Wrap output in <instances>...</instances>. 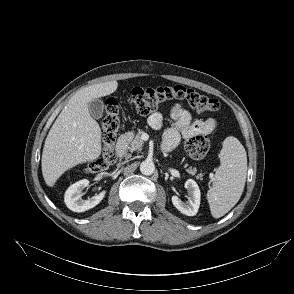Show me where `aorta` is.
I'll list each match as a JSON object with an SVG mask.
<instances>
[{
	"instance_id": "1",
	"label": "aorta",
	"mask_w": 294,
	"mask_h": 294,
	"mask_svg": "<svg viewBox=\"0 0 294 294\" xmlns=\"http://www.w3.org/2000/svg\"><path fill=\"white\" fill-rule=\"evenodd\" d=\"M140 171L143 175H152L155 171V165L150 160H145L140 164Z\"/></svg>"
}]
</instances>
